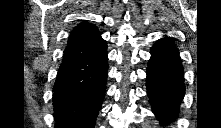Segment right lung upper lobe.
<instances>
[{"label": "right lung upper lobe", "instance_id": "1", "mask_svg": "<svg viewBox=\"0 0 221 128\" xmlns=\"http://www.w3.org/2000/svg\"><path fill=\"white\" fill-rule=\"evenodd\" d=\"M101 33L98 28L87 22L78 24L70 33L68 45L79 44L94 40L99 37Z\"/></svg>", "mask_w": 221, "mask_h": 128}]
</instances>
